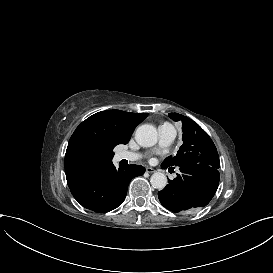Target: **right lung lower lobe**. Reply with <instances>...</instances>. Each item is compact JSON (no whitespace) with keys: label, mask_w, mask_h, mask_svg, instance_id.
<instances>
[{"label":"right lung lower lobe","mask_w":273,"mask_h":273,"mask_svg":"<svg viewBox=\"0 0 273 273\" xmlns=\"http://www.w3.org/2000/svg\"><path fill=\"white\" fill-rule=\"evenodd\" d=\"M144 172L145 168L139 165L116 169L110 163L70 187V191L83 207L98 213L109 212L122 204L132 178Z\"/></svg>","instance_id":"1"}]
</instances>
